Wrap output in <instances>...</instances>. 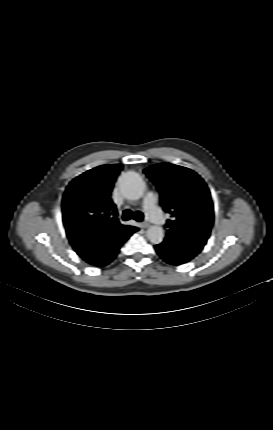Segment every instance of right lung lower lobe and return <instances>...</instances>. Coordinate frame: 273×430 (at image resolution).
<instances>
[{
  "instance_id": "right-lung-lower-lobe-1",
  "label": "right lung lower lobe",
  "mask_w": 273,
  "mask_h": 430,
  "mask_svg": "<svg viewBox=\"0 0 273 430\" xmlns=\"http://www.w3.org/2000/svg\"><path fill=\"white\" fill-rule=\"evenodd\" d=\"M126 240H117V241L110 240L105 242L102 245L101 252L97 256H95L94 258L86 262L99 267L109 264L116 257L119 251V248Z\"/></svg>"
}]
</instances>
